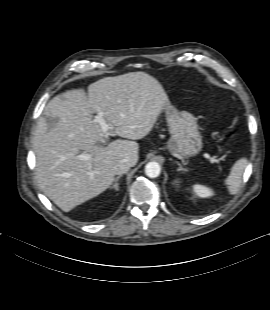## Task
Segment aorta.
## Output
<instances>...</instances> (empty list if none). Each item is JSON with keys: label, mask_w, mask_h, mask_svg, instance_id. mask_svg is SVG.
I'll list each match as a JSON object with an SVG mask.
<instances>
[{"label": "aorta", "mask_w": 270, "mask_h": 310, "mask_svg": "<svg viewBox=\"0 0 270 310\" xmlns=\"http://www.w3.org/2000/svg\"><path fill=\"white\" fill-rule=\"evenodd\" d=\"M161 167L157 162H149L145 166V174L149 178H156L160 175Z\"/></svg>", "instance_id": "aorta-1"}]
</instances>
